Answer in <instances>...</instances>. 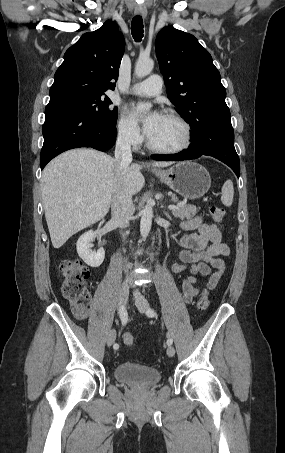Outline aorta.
Masks as SVG:
<instances>
[{"label":"aorta","instance_id":"762f6f07","mask_svg":"<svg viewBox=\"0 0 285 453\" xmlns=\"http://www.w3.org/2000/svg\"><path fill=\"white\" fill-rule=\"evenodd\" d=\"M154 67V61L149 57L140 56L136 66L135 75L138 78H143L151 73ZM151 103L141 102L137 105V109L141 113H146L151 109ZM153 200H148L146 206L142 211V217L140 221V233L143 238H146L151 230L152 218H153Z\"/></svg>","mask_w":285,"mask_h":453}]
</instances>
